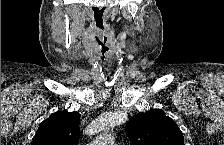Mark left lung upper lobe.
Instances as JSON below:
<instances>
[{"instance_id":"1","label":"left lung upper lobe","mask_w":224,"mask_h":145,"mask_svg":"<svg viewBox=\"0 0 224 145\" xmlns=\"http://www.w3.org/2000/svg\"><path fill=\"white\" fill-rule=\"evenodd\" d=\"M125 131L131 145H184L181 130L160 110L133 116Z\"/></svg>"}]
</instances>
